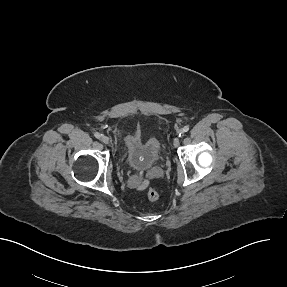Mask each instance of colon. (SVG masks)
Instances as JSON below:
<instances>
[{"mask_svg":"<svg viewBox=\"0 0 287 287\" xmlns=\"http://www.w3.org/2000/svg\"><path fill=\"white\" fill-rule=\"evenodd\" d=\"M146 197L149 201H156L159 197V194L155 189L151 188L147 191Z\"/></svg>","mask_w":287,"mask_h":287,"instance_id":"obj_1","label":"colon"}]
</instances>
